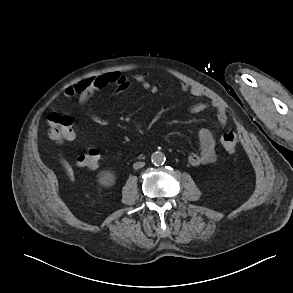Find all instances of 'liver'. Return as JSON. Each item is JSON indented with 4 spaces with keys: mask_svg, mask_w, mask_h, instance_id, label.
<instances>
[{
    "mask_svg": "<svg viewBox=\"0 0 293 293\" xmlns=\"http://www.w3.org/2000/svg\"><path fill=\"white\" fill-rule=\"evenodd\" d=\"M65 167H66V170H67V172H68V174H69V176H70V178H71V180H73L74 179V175H73V170H72V168L69 166V164H65Z\"/></svg>",
    "mask_w": 293,
    "mask_h": 293,
    "instance_id": "6515ba94",
    "label": "liver"
}]
</instances>
